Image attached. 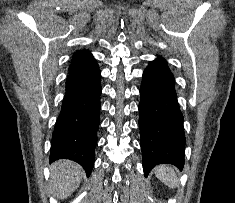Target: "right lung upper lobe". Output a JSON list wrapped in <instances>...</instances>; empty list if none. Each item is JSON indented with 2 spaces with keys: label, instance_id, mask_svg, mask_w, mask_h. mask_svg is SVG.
Returning <instances> with one entry per match:
<instances>
[{
  "label": "right lung upper lobe",
  "instance_id": "obj_1",
  "mask_svg": "<svg viewBox=\"0 0 235 203\" xmlns=\"http://www.w3.org/2000/svg\"><path fill=\"white\" fill-rule=\"evenodd\" d=\"M92 58V55L87 50H80L75 52L71 64L69 66V71L79 67L80 65L84 64Z\"/></svg>",
  "mask_w": 235,
  "mask_h": 203
}]
</instances>
